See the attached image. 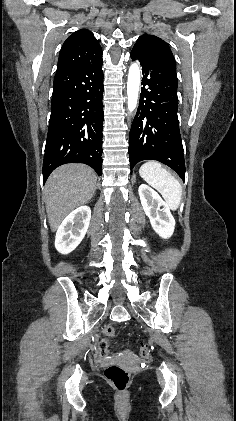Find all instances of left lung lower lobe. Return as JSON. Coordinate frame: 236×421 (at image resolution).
I'll return each mask as SVG.
<instances>
[{"label":"left lung lower lobe","instance_id":"left-lung-lower-lobe-1","mask_svg":"<svg viewBox=\"0 0 236 421\" xmlns=\"http://www.w3.org/2000/svg\"><path fill=\"white\" fill-rule=\"evenodd\" d=\"M143 78L138 111L129 134L130 168L142 160H157L185 180L183 145L178 121L175 61L163 52L134 46Z\"/></svg>","mask_w":236,"mask_h":421}]
</instances>
